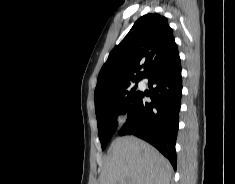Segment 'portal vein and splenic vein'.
I'll return each mask as SVG.
<instances>
[{
	"instance_id": "1",
	"label": "portal vein and splenic vein",
	"mask_w": 235,
	"mask_h": 184,
	"mask_svg": "<svg viewBox=\"0 0 235 184\" xmlns=\"http://www.w3.org/2000/svg\"><path fill=\"white\" fill-rule=\"evenodd\" d=\"M121 184H126V182H124V180H123V182H121Z\"/></svg>"
}]
</instances>
